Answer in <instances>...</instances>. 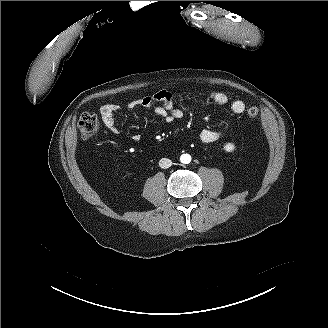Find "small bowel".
Segmentation results:
<instances>
[{
    "instance_id": "small-bowel-1",
    "label": "small bowel",
    "mask_w": 328,
    "mask_h": 328,
    "mask_svg": "<svg viewBox=\"0 0 328 328\" xmlns=\"http://www.w3.org/2000/svg\"><path fill=\"white\" fill-rule=\"evenodd\" d=\"M209 98L218 105H227L230 103L229 97L221 91H212ZM128 109L133 110L138 107L152 108L154 112L165 122H172L181 118L182 112L173 105V95L162 90L152 95H147L130 101ZM120 106L116 103H107L101 106L100 116L104 126L113 134H118L119 130L115 123V114ZM230 109L235 114H241L245 111L246 105L242 100H234L230 103ZM219 132L212 129H202L199 133L200 141L204 144H212L219 138ZM134 141H138V136H133Z\"/></svg>"
}]
</instances>
